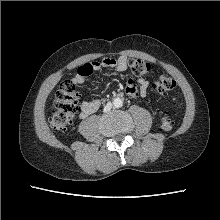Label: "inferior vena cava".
Instances as JSON below:
<instances>
[{"instance_id":"inferior-vena-cava-1","label":"inferior vena cava","mask_w":220,"mask_h":220,"mask_svg":"<svg viewBox=\"0 0 220 220\" xmlns=\"http://www.w3.org/2000/svg\"><path fill=\"white\" fill-rule=\"evenodd\" d=\"M111 108H112V103H111V102H108V103L105 105L103 111H104V112H108V111L111 110Z\"/></svg>"}]
</instances>
